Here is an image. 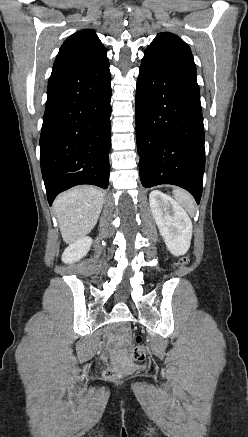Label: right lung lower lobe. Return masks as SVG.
I'll return each mask as SVG.
<instances>
[{
  "instance_id": "1",
  "label": "right lung lower lobe",
  "mask_w": 248,
  "mask_h": 437,
  "mask_svg": "<svg viewBox=\"0 0 248 437\" xmlns=\"http://www.w3.org/2000/svg\"><path fill=\"white\" fill-rule=\"evenodd\" d=\"M109 62L55 68L48 82L40 165L48 202L75 185L109 183Z\"/></svg>"
}]
</instances>
